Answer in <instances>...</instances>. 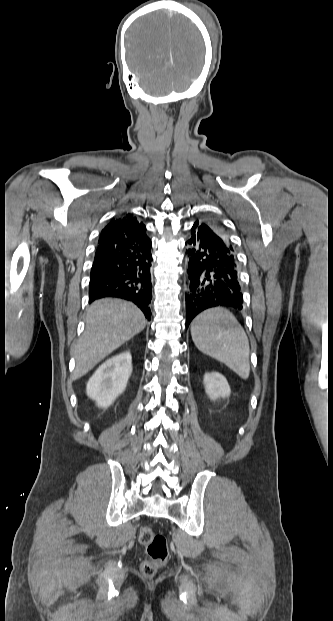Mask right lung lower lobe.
<instances>
[{
  "mask_svg": "<svg viewBox=\"0 0 333 621\" xmlns=\"http://www.w3.org/2000/svg\"><path fill=\"white\" fill-rule=\"evenodd\" d=\"M151 247L98 245L90 275L89 302L103 297L122 298L136 304L150 320Z\"/></svg>",
  "mask_w": 333,
  "mask_h": 621,
  "instance_id": "98d812e1",
  "label": "right lung lower lobe"
}]
</instances>
